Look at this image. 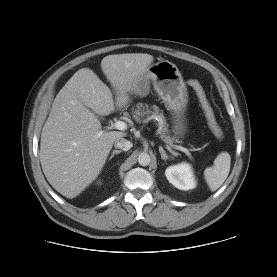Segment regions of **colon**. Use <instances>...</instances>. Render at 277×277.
<instances>
[{
    "mask_svg": "<svg viewBox=\"0 0 277 277\" xmlns=\"http://www.w3.org/2000/svg\"><path fill=\"white\" fill-rule=\"evenodd\" d=\"M188 85L194 90L197 96V99L199 101V104L201 106V109L203 111V114L205 116V119L207 121V124L211 132L216 138L222 139L224 137L223 129L216 118L215 112L210 102L208 101V98L205 94V91L202 85L200 84L199 81L195 79H190L188 81Z\"/></svg>",
    "mask_w": 277,
    "mask_h": 277,
    "instance_id": "5ec220e1",
    "label": "colon"
}]
</instances>
